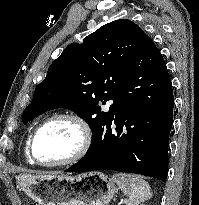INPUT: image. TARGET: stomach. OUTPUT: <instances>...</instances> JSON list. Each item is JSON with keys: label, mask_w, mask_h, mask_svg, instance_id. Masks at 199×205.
<instances>
[{"label": "stomach", "mask_w": 199, "mask_h": 205, "mask_svg": "<svg viewBox=\"0 0 199 205\" xmlns=\"http://www.w3.org/2000/svg\"><path fill=\"white\" fill-rule=\"evenodd\" d=\"M18 185L39 205H107L114 197L115 182L102 172L74 177L59 174H21Z\"/></svg>", "instance_id": "stomach-1"}]
</instances>
